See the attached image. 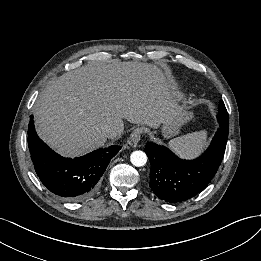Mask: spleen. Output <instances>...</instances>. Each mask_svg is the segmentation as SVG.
Listing matches in <instances>:
<instances>
[{
  "mask_svg": "<svg viewBox=\"0 0 261 261\" xmlns=\"http://www.w3.org/2000/svg\"><path fill=\"white\" fill-rule=\"evenodd\" d=\"M207 144V131L201 130L172 139L170 148L182 157H194L199 154Z\"/></svg>",
  "mask_w": 261,
  "mask_h": 261,
  "instance_id": "obj_1",
  "label": "spleen"
}]
</instances>
